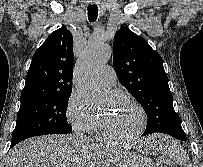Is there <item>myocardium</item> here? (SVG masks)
<instances>
[{"label": "myocardium", "mask_w": 203, "mask_h": 167, "mask_svg": "<svg viewBox=\"0 0 203 167\" xmlns=\"http://www.w3.org/2000/svg\"><path fill=\"white\" fill-rule=\"evenodd\" d=\"M115 95L120 97L122 100H124L127 104L132 106L139 114V125L137 129L130 135L120 137L113 135L105 126L103 120L99 118V125L101 132L105 138H107L110 141L117 142V143H127L136 140L145 130L146 122H147V116L144 108L135 100L130 98L124 93L121 92H115Z\"/></svg>", "instance_id": "obj_1"}]
</instances>
